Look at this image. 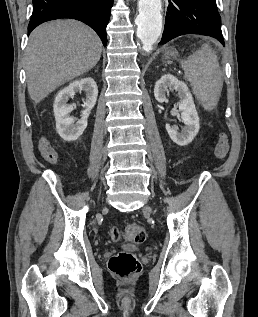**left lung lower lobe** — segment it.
<instances>
[{"label": "left lung lower lobe", "mask_w": 258, "mask_h": 317, "mask_svg": "<svg viewBox=\"0 0 258 317\" xmlns=\"http://www.w3.org/2000/svg\"><path fill=\"white\" fill-rule=\"evenodd\" d=\"M184 34L211 36L225 46L216 0H169L160 44Z\"/></svg>", "instance_id": "obj_1"}]
</instances>
